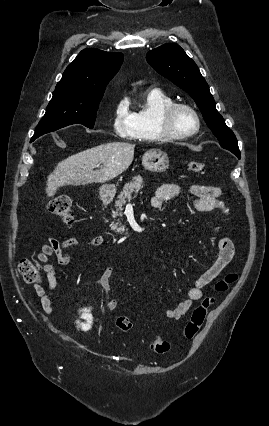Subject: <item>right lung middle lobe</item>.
I'll use <instances>...</instances> for the list:
<instances>
[{"mask_svg":"<svg viewBox=\"0 0 269 426\" xmlns=\"http://www.w3.org/2000/svg\"><path fill=\"white\" fill-rule=\"evenodd\" d=\"M102 96L93 98H69L62 94H53L46 113L36 127L31 142L43 134L72 124H82L93 128L96 113Z\"/></svg>","mask_w":269,"mask_h":426,"instance_id":"right-lung-middle-lobe-1","label":"right lung middle lobe"}]
</instances>
